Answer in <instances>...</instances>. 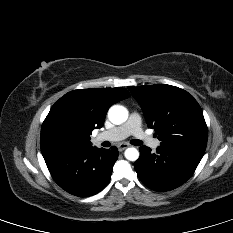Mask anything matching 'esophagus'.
Masks as SVG:
<instances>
[{"instance_id":"obj_1","label":"esophagus","mask_w":233,"mask_h":233,"mask_svg":"<svg viewBox=\"0 0 233 233\" xmlns=\"http://www.w3.org/2000/svg\"><path fill=\"white\" fill-rule=\"evenodd\" d=\"M128 146L129 145L126 143H121L118 145V150L121 152V151L125 150L126 148H128Z\"/></svg>"}]
</instances>
